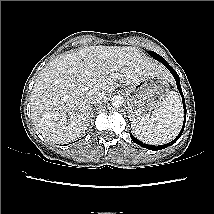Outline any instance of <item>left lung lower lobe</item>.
<instances>
[{"label": "left lung lower lobe", "instance_id": "obj_1", "mask_svg": "<svg viewBox=\"0 0 214 214\" xmlns=\"http://www.w3.org/2000/svg\"><path fill=\"white\" fill-rule=\"evenodd\" d=\"M162 63L169 69V71L172 73V75L175 78V81H176V84H177V88H178V90H179V92H180V94L182 96L184 111L186 113L185 100H184V96H183L181 85H180L179 75L176 73V71L165 60H163ZM185 120H186V118L184 119L183 127H182L180 133L178 134V136L173 141H171V142H169L167 144L160 145V146H153V145L145 144V143L139 141L138 139H136L133 136H131V138H132V140H133L134 143H136V144H138V145H140L142 147H145V148H147L149 150L156 151V150H159V149H164V148H167L168 146L172 145L174 142H176L180 138V136L182 135L183 130H184Z\"/></svg>", "mask_w": 214, "mask_h": 214}]
</instances>
